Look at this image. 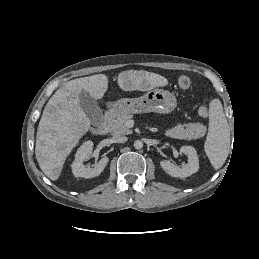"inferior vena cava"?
Here are the masks:
<instances>
[{"label":"inferior vena cava","instance_id":"inferior-vena-cava-1","mask_svg":"<svg viewBox=\"0 0 259 259\" xmlns=\"http://www.w3.org/2000/svg\"><path fill=\"white\" fill-rule=\"evenodd\" d=\"M127 137L126 136H122V135H115L113 137V142L114 143H125L127 141Z\"/></svg>","mask_w":259,"mask_h":259}]
</instances>
